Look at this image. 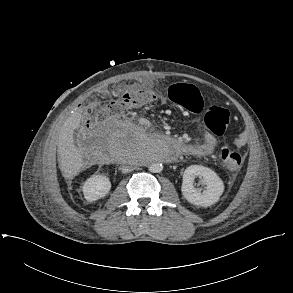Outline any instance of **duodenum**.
<instances>
[{"mask_svg":"<svg viewBox=\"0 0 293 293\" xmlns=\"http://www.w3.org/2000/svg\"><path fill=\"white\" fill-rule=\"evenodd\" d=\"M161 138L167 140L173 147L174 151L178 152V153H186L188 150V144L184 143L176 138H174L171 135H164L161 134L160 135ZM117 157L116 153L112 154V159H115ZM176 158H169L168 161L172 162L174 161Z\"/></svg>","mask_w":293,"mask_h":293,"instance_id":"obj_1","label":"duodenum"}]
</instances>
